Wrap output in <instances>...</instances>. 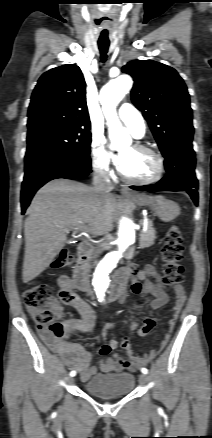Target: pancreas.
Wrapping results in <instances>:
<instances>
[{
    "mask_svg": "<svg viewBox=\"0 0 212 438\" xmlns=\"http://www.w3.org/2000/svg\"><path fill=\"white\" fill-rule=\"evenodd\" d=\"M156 231L153 228V223L151 220L148 221V229L146 232L142 231L139 238L140 248H148L154 244Z\"/></svg>",
    "mask_w": 212,
    "mask_h": 438,
    "instance_id": "1",
    "label": "pancreas"
}]
</instances>
